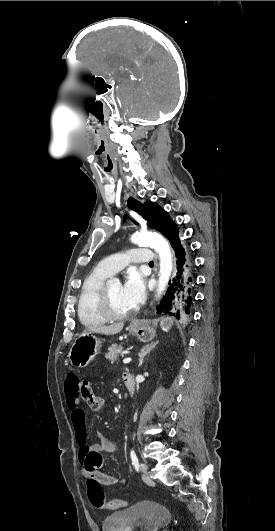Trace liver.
I'll return each mask as SVG.
<instances>
[{"label":"liver","instance_id":"6515ba94","mask_svg":"<svg viewBox=\"0 0 275 531\" xmlns=\"http://www.w3.org/2000/svg\"><path fill=\"white\" fill-rule=\"evenodd\" d=\"M124 327V323H113V325H108V327H92V329H88V331H91V333H101V335H117V333H120ZM84 333H87V331H84Z\"/></svg>","mask_w":275,"mask_h":531}]
</instances>
